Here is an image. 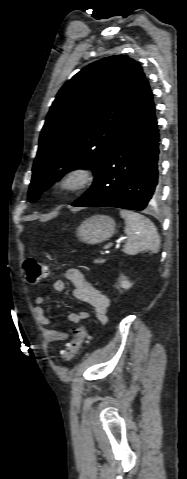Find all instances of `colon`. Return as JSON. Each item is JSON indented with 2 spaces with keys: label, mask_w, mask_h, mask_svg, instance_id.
<instances>
[{
  "label": "colon",
  "mask_w": 187,
  "mask_h": 479,
  "mask_svg": "<svg viewBox=\"0 0 187 479\" xmlns=\"http://www.w3.org/2000/svg\"><path fill=\"white\" fill-rule=\"evenodd\" d=\"M23 268L26 280L31 285L41 283L48 275L47 265L35 258L26 259ZM89 339L90 335L85 325H80L74 329L71 341L60 354V360L62 362H69L74 359L80 353L82 346L87 343Z\"/></svg>",
  "instance_id": "5ec220e1"
}]
</instances>
